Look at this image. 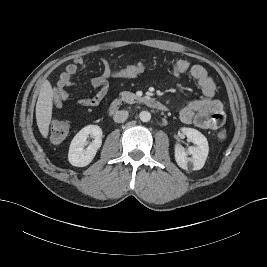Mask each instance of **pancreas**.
<instances>
[{
	"label": "pancreas",
	"instance_id": "1",
	"mask_svg": "<svg viewBox=\"0 0 267 267\" xmlns=\"http://www.w3.org/2000/svg\"><path fill=\"white\" fill-rule=\"evenodd\" d=\"M120 96H121V100L122 101H125V102H128V103H134L135 100L138 99V97L134 94V93H131L129 91H123L120 93Z\"/></svg>",
	"mask_w": 267,
	"mask_h": 267
}]
</instances>
